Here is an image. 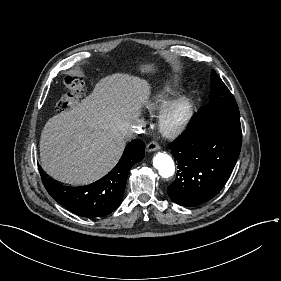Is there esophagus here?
Segmentation results:
<instances>
[{
  "label": "esophagus",
  "mask_w": 281,
  "mask_h": 281,
  "mask_svg": "<svg viewBox=\"0 0 281 281\" xmlns=\"http://www.w3.org/2000/svg\"><path fill=\"white\" fill-rule=\"evenodd\" d=\"M148 152L157 151L160 149V146L156 142H150L146 147Z\"/></svg>",
  "instance_id": "34e87169"
}]
</instances>
